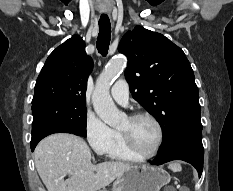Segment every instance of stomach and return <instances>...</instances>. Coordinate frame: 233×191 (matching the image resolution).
<instances>
[{
    "label": "stomach",
    "instance_id": "stomach-1",
    "mask_svg": "<svg viewBox=\"0 0 233 191\" xmlns=\"http://www.w3.org/2000/svg\"><path fill=\"white\" fill-rule=\"evenodd\" d=\"M170 178L162 167L132 166L114 181L111 191H160Z\"/></svg>",
    "mask_w": 233,
    "mask_h": 191
}]
</instances>
